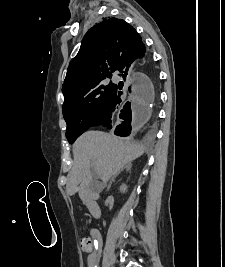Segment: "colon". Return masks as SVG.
<instances>
[{
	"label": "colon",
	"mask_w": 225,
	"mask_h": 267,
	"mask_svg": "<svg viewBox=\"0 0 225 267\" xmlns=\"http://www.w3.org/2000/svg\"><path fill=\"white\" fill-rule=\"evenodd\" d=\"M80 244H81V248L85 252H90L93 249V244H92L91 240L87 237H83L80 241Z\"/></svg>",
	"instance_id": "obj_1"
}]
</instances>
